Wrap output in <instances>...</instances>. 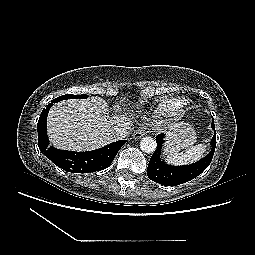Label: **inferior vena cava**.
Returning <instances> with one entry per match:
<instances>
[{"label": "inferior vena cava", "instance_id": "1", "mask_svg": "<svg viewBox=\"0 0 255 255\" xmlns=\"http://www.w3.org/2000/svg\"><path fill=\"white\" fill-rule=\"evenodd\" d=\"M130 123H122L113 127V135L117 140L125 139L131 133Z\"/></svg>", "mask_w": 255, "mask_h": 255}]
</instances>
